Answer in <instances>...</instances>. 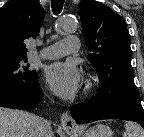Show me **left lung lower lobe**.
I'll list each match as a JSON object with an SVG mask.
<instances>
[{
	"mask_svg": "<svg viewBox=\"0 0 144 137\" xmlns=\"http://www.w3.org/2000/svg\"><path fill=\"white\" fill-rule=\"evenodd\" d=\"M70 112L78 124L101 119H121L135 121L144 128V110L138 92L110 99L96 94L91 100L70 107Z\"/></svg>",
	"mask_w": 144,
	"mask_h": 137,
	"instance_id": "obj_1",
	"label": "left lung lower lobe"
}]
</instances>
